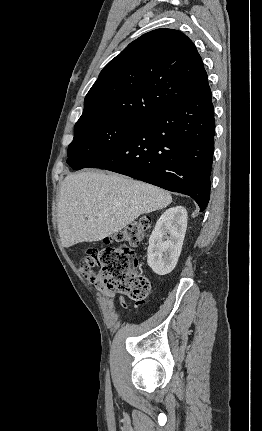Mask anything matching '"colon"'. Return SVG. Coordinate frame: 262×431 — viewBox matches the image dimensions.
Wrapping results in <instances>:
<instances>
[{
	"instance_id": "colon-1",
	"label": "colon",
	"mask_w": 262,
	"mask_h": 431,
	"mask_svg": "<svg viewBox=\"0 0 262 431\" xmlns=\"http://www.w3.org/2000/svg\"><path fill=\"white\" fill-rule=\"evenodd\" d=\"M149 228L150 220L141 219L108 237L105 246L97 249L95 254L83 252L79 258L80 271L90 274L109 291L124 293L134 301H144L149 294L150 283L138 271V259L131 247L142 242ZM95 267L97 271H94Z\"/></svg>"
}]
</instances>
